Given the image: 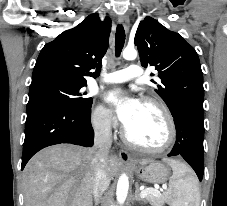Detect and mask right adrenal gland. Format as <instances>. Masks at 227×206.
Wrapping results in <instances>:
<instances>
[{
	"instance_id": "1",
	"label": "right adrenal gland",
	"mask_w": 227,
	"mask_h": 206,
	"mask_svg": "<svg viewBox=\"0 0 227 206\" xmlns=\"http://www.w3.org/2000/svg\"><path fill=\"white\" fill-rule=\"evenodd\" d=\"M97 205H98V201L95 202V206H97Z\"/></svg>"
}]
</instances>
